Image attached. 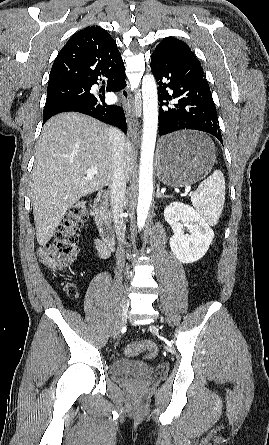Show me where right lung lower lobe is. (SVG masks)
Returning a JSON list of instances; mask_svg holds the SVG:
<instances>
[{
	"label": "right lung lower lobe",
	"instance_id": "right-lung-lower-lobe-1",
	"mask_svg": "<svg viewBox=\"0 0 269 445\" xmlns=\"http://www.w3.org/2000/svg\"><path fill=\"white\" fill-rule=\"evenodd\" d=\"M108 78L107 91H120L126 86L125 68L122 59L118 63L113 64L109 68L97 73L91 77L85 84L88 85L87 94L79 96L70 102L58 106L50 115L43 118V124L52 116L62 112H80L92 116L102 122L115 125L123 132H126V119L122 107L115 105H107L105 96L93 95L90 89L93 84H98V77Z\"/></svg>",
	"mask_w": 269,
	"mask_h": 445
}]
</instances>
